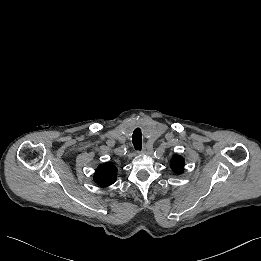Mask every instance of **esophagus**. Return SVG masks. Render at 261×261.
<instances>
[{
	"instance_id": "obj_1",
	"label": "esophagus",
	"mask_w": 261,
	"mask_h": 261,
	"mask_svg": "<svg viewBox=\"0 0 261 261\" xmlns=\"http://www.w3.org/2000/svg\"><path fill=\"white\" fill-rule=\"evenodd\" d=\"M141 154H145L146 153V149L145 148H143L142 150H141V152H140Z\"/></svg>"
}]
</instances>
